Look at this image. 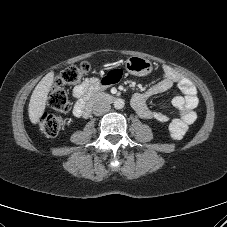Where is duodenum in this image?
<instances>
[{
  "label": "duodenum",
  "mask_w": 227,
  "mask_h": 227,
  "mask_svg": "<svg viewBox=\"0 0 227 227\" xmlns=\"http://www.w3.org/2000/svg\"><path fill=\"white\" fill-rule=\"evenodd\" d=\"M113 99L114 97L112 95L103 92H95L90 94L83 103L81 109V116L87 117L96 103L99 102L108 103L113 101Z\"/></svg>",
  "instance_id": "1"
}]
</instances>
